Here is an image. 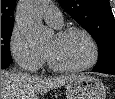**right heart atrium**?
Here are the masks:
<instances>
[{
  "mask_svg": "<svg viewBox=\"0 0 115 99\" xmlns=\"http://www.w3.org/2000/svg\"><path fill=\"white\" fill-rule=\"evenodd\" d=\"M9 49L15 62L26 70H38L44 63V54L33 50L23 33L16 27L10 36Z\"/></svg>",
  "mask_w": 115,
  "mask_h": 99,
  "instance_id": "obj_1",
  "label": "right heart atrium"
}]
</instances>
